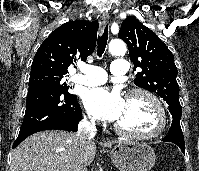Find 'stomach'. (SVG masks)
Returning <instances> with one entry per match:
<instances>
[{
  "label": "stomach",
  "instance_id": "1",
  "mask_svg": "<svg viewBox=\"0 0 199 171\" xmlns=\"http://www.w3.org/2000/svg\"><path fill=\"white\" fill-rule=\"evenodd\" d=\"M110 156L120 171H150L156 159L148 144L133 140H119L111 149Z\"/></svg>",
  "mask_w": 199,
  "mask_h": 171
}]
</instances>
